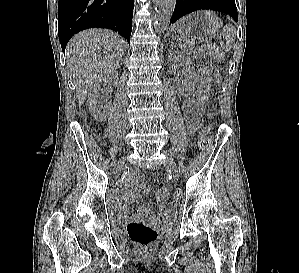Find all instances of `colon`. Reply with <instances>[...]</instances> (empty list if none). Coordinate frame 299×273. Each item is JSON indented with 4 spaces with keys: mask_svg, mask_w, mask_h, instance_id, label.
I'll return each instance as SVG.
<instances>
[{
    "mask_svg": "<svg viewBox=\"0 0 299 273\" xmlns=\"http://www.w3.org/2000/svg\"><path fill=\"white\" fill-rule=\"evenodd\" d=\"M202 51L206 54H214L216 52L215 48L209 45L204 46ZM214 70L215 64L210 62L203 71L196 92L197 112L199 111L200 107L205 106L208 102ZM199 137V146L202 150H207L211 147L212 137L209 134V128L207 126H204L200 129ZM173 201L175 204H180L183 201V192L181 190H176L174 192ZM126 230L129 238L134 243L142 247L151 246L158 238V231L153 226L144 222H130L126 227Z\"/></svg>",
    "mask_w": 299,
    "mask_h": 273,
    "instance_id": "colon-1",
    "label": "colon"
}]
</instances>
